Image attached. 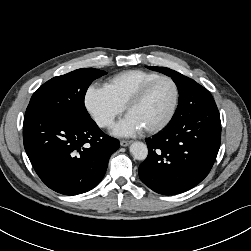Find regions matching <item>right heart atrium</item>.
<instances>
[{"mask_svg": "<svg viewBox=\"0 0 251 251\" xmlns=\"http://www.w3.org/2000/svg\"><path fill=\"white\" fill-rule=\"evenodd\" d=\"M84 105L92 119L101 128H110L115 119L124 111V107L104 87L97 85L87 88Z\"/></svg>", "mask_w": 251, "mask_h": 251, "instance_id": "obj_1", "label": "right heart atrium"}]
</instances>
